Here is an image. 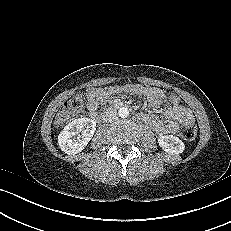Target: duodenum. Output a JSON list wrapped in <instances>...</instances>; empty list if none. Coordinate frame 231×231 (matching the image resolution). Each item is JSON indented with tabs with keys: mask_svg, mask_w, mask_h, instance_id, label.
Returning a JSON list of instances; mask_svg holds the SVG:
<instances>
[{
	"mask_svg": "<svg viewBox=\"0 0 231 231\" xmlns=\"http://www.w3.org/2000/svg\"><path fill=\"white\" fill-rule=\"evenodd\" d=\"M124 106H125L124 102L118 101V102H115L112 107L104 108L101 114L98 115L96 111L92 113V115L95 120H101L105 115L109 114L112 111V108H122Z\"/></svg>",
	"mask_w": 231,
	"mask_h": 231,
	"instance_id": "410a0bca",
	"label": "duodenum"
}]
</instances>
